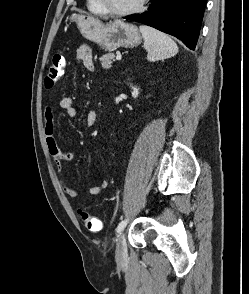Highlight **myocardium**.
<instances>
[{
  "label": "myocardium",
  "mask_w": 249,
  "mask_h": 294,
  "mask_svg": "<svg viewBox=\"0 0 249 294\" xmlns=\"http://www.w3.org/2000/svg\"><path fill=\"white\" fill-rule=\"evenodd\" d=\"M97 2L99 6L103 9L105 14L122 17V16H129V15L140 12L145 7L148 0H139V2L136 5L125 10L111 9L105 4L104 0H97Z\"/></svg>",
  "instance_id": "obj_1"
}]
</instances>
